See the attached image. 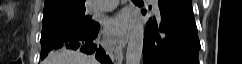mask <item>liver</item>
Masks as SVG:
<instances>
[{
  "mask_svg": "<svg viewBox=\"0 0 242 64\" xmlns=\"http://www.w3.org/2000/svg\"><path fill=\"white\" fill-rule=\"evenodd\" d=\"M43 64H99L92 56L79 51L61 49L48 55Z\"/></svg>",
  "mask_w": 242,
  "mask_h": 64,
  "instance_id": "liver-1",
  "label": "liver"
}]
</instances>
